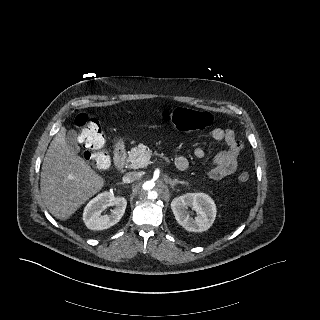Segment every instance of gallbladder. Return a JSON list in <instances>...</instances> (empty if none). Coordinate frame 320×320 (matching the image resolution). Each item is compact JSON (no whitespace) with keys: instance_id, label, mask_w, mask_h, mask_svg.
<instances>
[{"instance_id":"obj_1","label":"gallbladder","mask_w":320,"mask_h":320,"mask_svg":"<svg viewBox=\"0 0 320 320\" xmlns=\"http://www.w3.org/2000/svg\"><path fill=\"white\" fill-rule=\"evenodd\" d=\"M66 142L69 147L76 153L79 152V146L76 142V132L74 130H69L66 137Z\"/></svg>"}]
</instances>
